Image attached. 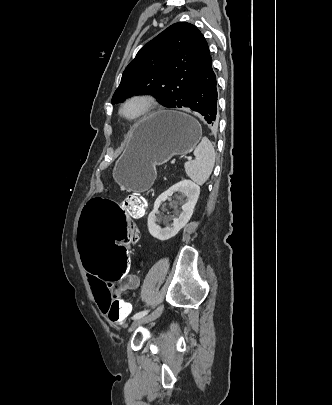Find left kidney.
<instances>
[{
	"mask_svg": "<svg viewBox=\"0 0 332 405\" xmlns=\"http://www.w3.org/2000/svg\"><path fill=\"white\" fill-rule=\"evenodd\" d=\"M175 192H182L187 197V202L182 205V212L178 218H173V224L161 228L158 224L162 219L159 212V207L162 202L166 201ZM200 194V187L189 180H182L170 187L166 192L162 193L154 203V208L148 216L149 233L156 239L165 241L174 237L190 220L194 207L197 203ZM172 207V204H170Z\"/></svg>",
	"mask_w": 332,
	"mask_h": 405,
	"instance_id": "left-kidney-1",
	"label": "left kidney"
}]
</instances>
